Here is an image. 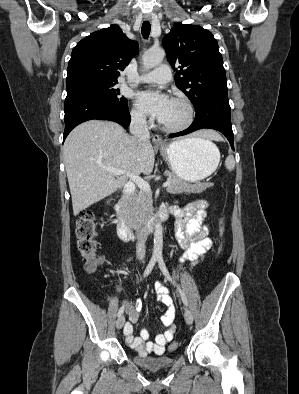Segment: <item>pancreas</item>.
<instances>
[{"label": "pancreas", "instance_id": "1", "mask_svg": "<svg viewBox=\"0 0 299 394\" xmlns=\"http://www.w3.org/2000/svg\"><path fill=\"white\" fill-rule=\"evenodd\" d=\"M168 181L171 184L167 187V192L170 194H181V193H201L203 190L212 187V183H196L189 184L175 174L166 172ZM152 195L150 192L140 191L137 194H133L131 197L127 213L130 217L134 218L136 224L134 227L141 223L146 216L152 212Z\"/></svg>", "mask_w": 299, "mask_h": 394}]
</instances>
